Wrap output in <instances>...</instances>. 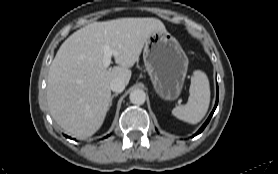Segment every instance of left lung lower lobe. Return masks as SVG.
I'll return each mask as SVG.
<instances>
[{
    "label": "left lung lower lobe",
    "instance_id": "obj_1",
    "mask_svg": "<svg viewBox=\"0 0 278 174\" xmlns=\"http://www.w3.org/2000/svg\"><path fill=\"white\" fill-rule=\"evenodd\" d=\"M218 95H219V90H218V85H217V98H216V103H215L214 109H213V111L211 112L210 116L208 117L207 121H206V122L203 124V126L197 131V133H196L195 135L200 134V133L204 130V128L206 127V125L208 124V122L210 121V119H211V117H212V115H213V113H214V111H215V109H216V107H217V104H218ZM195 135H194V136H195Z\"/></svg>",
    "mask_w": 278,
    "mask_h": 174
}]
</instances>
